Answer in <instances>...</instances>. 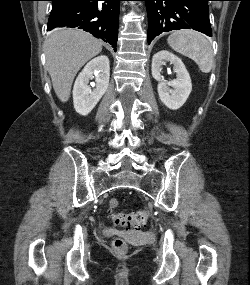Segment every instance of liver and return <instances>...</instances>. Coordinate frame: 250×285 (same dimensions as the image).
Returning <instances> with one entry per match:
<instances>
[{
  "label": "liver",
  "instance_id": "6515ba94",
  "mask_svg": "<svg viewBox=\"0 0 250 285\" xmlns=\"http://www.w3.org/2000/svg\"><path fill=\"white\" fill-rule=\"evenodd\" d=\"M101 51L102 41L85 31L61 28L50 33L45 42L46 67L62 102L69 99L77 72Z\"/></svg>",
  "mask_w": 250,
  "mask_h": 285
}]
</instances>
